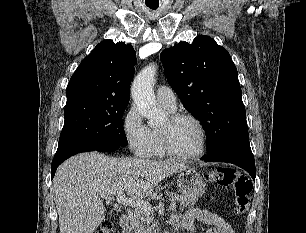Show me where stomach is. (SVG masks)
Returning <instances> with one entry per match:
<instances>
[{
    "label": "stomach",
    "mask_w": 306,
    "mask_h": 233,
    "mask_svg": "<svg viewBox=\"0 0 306 233\" xmlns=\"http://www.w3.org/2000/svg\"><path fill=\"white\" fill-rule=\"evenodd\" d=\"M177 186L183 196L197 199L204 194L206 184L200 173L193 168H186L179 172Z\"/></svg>",
    "instance_id": "0dacf381"
}]
</instances>
